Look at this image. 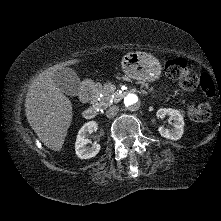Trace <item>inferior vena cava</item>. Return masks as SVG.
Returning a JSON list of instances; mask_svg holds the SVG:
<instances>
[{"instance_id": "obj_1", "label": "inferior vena cava", "mask_w": 221, "mask_h": 221, "mask_svg": "<svg viewBox=\"0 0 221 221\" xmlns=\"http://www.w3.org/2000/svg\"><path fill=\"white\" fill-rule=\"evenodd\" d=\"M119 111L118 106L113 105L106 111L107 118H113Z\"/></svg>"}]
</instances>
